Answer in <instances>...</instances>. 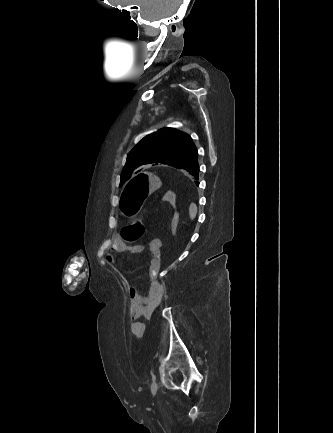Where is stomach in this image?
I'll return each mask as SVG.
<instances>
[{
  "instance_id": "1",
  "label": "stomach",
  "mask_w": 333,
  "mask_h": 433,
  "mask_svg": "<svg viewBox=\"0 0 333 433\" xmlns=\"http://www.w3.org/2000/svg\"><path fill=\"white\" fill-rule=\"evenodd\" d=\"M157 175L158 172L153 170L136 175L126 183L119 204L124 216L131 218L141 211L144 200L160 187Z\"/></svg>"
}]
</instances>
